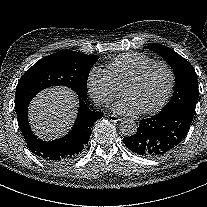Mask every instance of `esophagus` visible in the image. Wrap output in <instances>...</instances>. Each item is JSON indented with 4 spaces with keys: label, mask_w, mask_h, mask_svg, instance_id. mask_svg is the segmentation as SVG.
<instances>
[{
    "label": "esophagus",
    "mask_w": 207,
    "mask_h": 207,
    "mask_svg": "<svg viewBox=\"0 0 207 207\" xmlns=\"http://www.w3.org/2000/svg\"><path fill=\"white\" fill-rule=\"evenodd\" d=\"M107 118L111 120L114 125H119L121 123V118L117 115L108 114Z\"/></svg>",
    "instance_id": "1"
}]
</instances>
